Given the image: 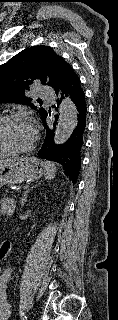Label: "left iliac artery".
Listing matches in <instances>:
<instances>
[{"instance_id": "obj_1", "label": "left iliac artery", "mask_w": 118, "mask_h": 320, "mask_svg": "<svg viewBox=\"0 0 118 320\" xmlns=\"http://www.w3.org/2000/svg\"><path fill=\"white\" fill-rule=\"evenodd\" d=\"M20 318L21 320H27V317L24 312H20Z\"/></svg>"}]
</instances>
